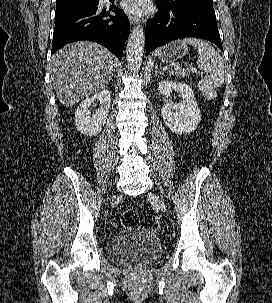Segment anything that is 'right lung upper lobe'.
Here are the masks:
<instances>
[{
  "mask_svg": "<svg viewBox=\"0 0 272 303\" xmlns=\"http://www.w3.org/2000/svg\"><path fill=\"white\" fill-rule=\"evenodd\" d=\"M69 1H75V0H56V4L63 3V2H69Z\"/></svg>",
  "mask_w": 272,
  "mask_h": 303,
  "instance_id": "obj_1",
  "label": "right lung upper lobe"
}]
</instances>
